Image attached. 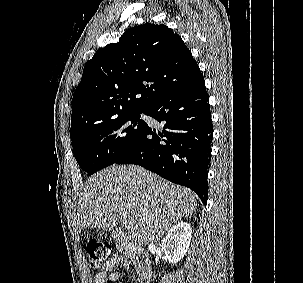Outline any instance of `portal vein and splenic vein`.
Listing matches in <instances>:
<instances>
[{"mask_svg":"<svg viewBox=\"0 0 303 283\" xmlns=\"http://www.w3.org/2000/svg\"><path fill=\"white\" fill-rule=\"evenodd\" d=\"M122 222L126 225V226H130L131 224V218L127 215H123L121 217Z\"/></svg>","mask_w":303,"mask_h":283,"instance_id":"1","label":"portal vein and splenic vein"}]
</instances>
